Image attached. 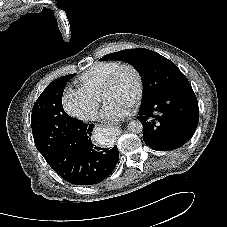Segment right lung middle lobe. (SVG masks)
Here are the masks:
<instances>
[{
    "instance_id": "dd1d6c3e",
    "label": "right lung middle lobe",
    "mask_w": 227,
    "mask_h": 227,
    "mask_svg": "<svg viewBox=\"0 0 227 227\" xmlns=\"http://www.w3.org/2000/svg\"><path fill=\"white\" fill-rule=\"evenodd\" d=\"M74 74L52 81L41 93L33 106L31 127L37 150L46 157L58 144L63 127L72 120L62 106V95L66 83Z\"/></svg>"
}]
</instances>
